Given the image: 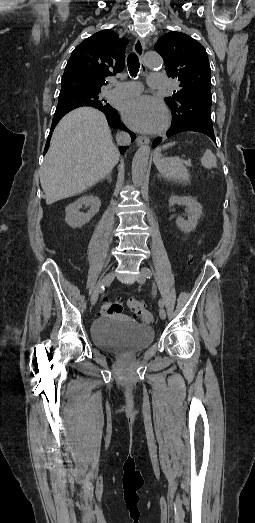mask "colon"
I'll list each match as a JSON object with an SVG mask.
<instances>
[{
  "label": "colon",
  "instance_id": "colon-1",
  "mask_svg": "<svg viewBox=\"0 0 255 523\" xmlns=\"http://www.w3.org/2000/svg\"><path fill=\"white\" fill-rule=\"evenodd\" d=\"M128 308L131 310L132 314L141 320L143 323H152L155 320L154 315L145 308L143 303L139 300L130 298L127 302ZM123 310V306L120 302L117 301H106L101 310V315L111 316L120 314Z\"/></svg>",
  "mask_w": 255,
  "mask_h": 523
}]
</instances>
